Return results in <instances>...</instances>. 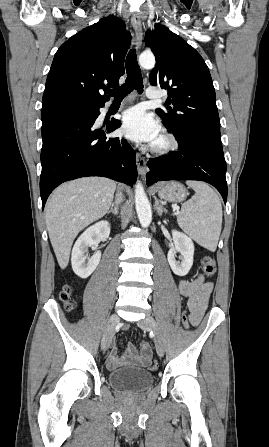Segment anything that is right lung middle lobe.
Listing matches in <instances>:
<instances>
[{
	"instance_id": "1",
	"label": "right lung middle lobe",
	"mask_w": 269,
	"mask_h": 447,
	"mask_svg": "<svg viewBox=\"0 0 269 447\" xmlns=\"http://www.w3.org/2000/svg\"><path fill=\"white\" fill-rule=\"evenodd\" d=\"M95 107H99L97 105H93V106H86V108H95Z\"/></svg>"
}]
</instances>
